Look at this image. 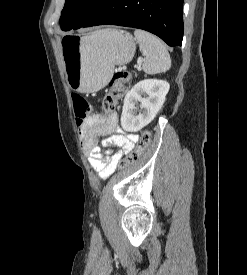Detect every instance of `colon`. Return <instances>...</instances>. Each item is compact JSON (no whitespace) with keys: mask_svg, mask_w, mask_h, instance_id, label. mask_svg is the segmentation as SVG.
<instances>
[{"mask_svg":"<svg viewBox=\"0 0 247 275\" xmlns=\"http://www.w3.org/2000/svg\"><path fill=\"white\" fill-rule=\"evenodd\" d=\"M130 79L129 71L125 69H118L113 74L109 82V92L104 98V108L107 112H111L115 109L118 101L122 98L125 85ZM73 105L76 117V122L80 126L90 116L92 107L90 103L81 95L73 94ZM151 142V134L148 131H144L133 151H131L124 159L118 163L120 169L127 167L139 160L141 155L146 151Z\"/></svg>","mask_w":247,"mask_h":275,"instance_id":"obj_1","label":"colon"}]
</instances>
